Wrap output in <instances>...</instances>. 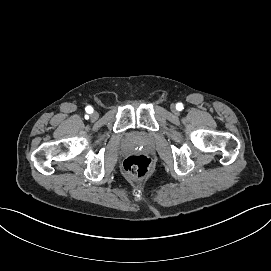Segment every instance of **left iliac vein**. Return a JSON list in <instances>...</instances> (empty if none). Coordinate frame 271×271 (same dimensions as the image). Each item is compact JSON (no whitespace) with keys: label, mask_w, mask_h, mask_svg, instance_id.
Listing matches in <instances>:
<instances>
[{"label":"left iliac vein","mask_w":271,"mask_h":271,"mask_svg":"<svg viewBox=\"0 0 271 271\" xmlns=\"http://www.w3.org/2000/svg\"><path fill=\"white\" fill-rule=\"evenodd\" d=\"M171 111L175 114L178 112L175 105H171Z\"/></svg>","instance_id":"1"}]
</instances>
